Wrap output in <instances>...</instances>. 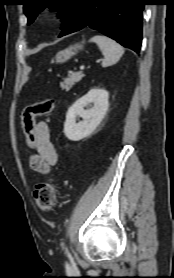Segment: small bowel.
Wrapping results in <instances>:
<instances>
[{
	"label": "small bowel",
	"instance_id": "c3829d8e",
	"mask_svg": "<svg viewBox=\"0 0 174 278\" xmlns=\"http://www.w3.org/2000/svg\"><path fill=\"white\" fill-rule=\"evenodd\" d=\"M38 144L36 153L31 157V167L42 174L49 172L50 167L57 163L58 156L51 141L50 129L45 121H39L35 126Z\"/></svg>",
	"mask_w": 174,
	"mask_h": 278
}]
</instances>
